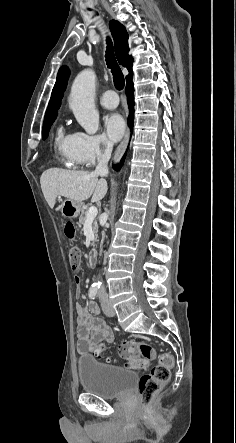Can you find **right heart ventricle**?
<instances>
[{"mask_svg":"<svg viewBox=\"0 0 236 443\" xmlns=\"http://www.w3.org/2000/svg\"><path fill=\"white\" fill-rule=\"evenodd\" d=\"M54 149L64 166L76 168L80 164L73 153V134H66L63 127L56 131Z\"/></svg>","mask_w":236,"mask_h":443,"instance_id":"1","label":"right heart ventricle"}]
</instances>
